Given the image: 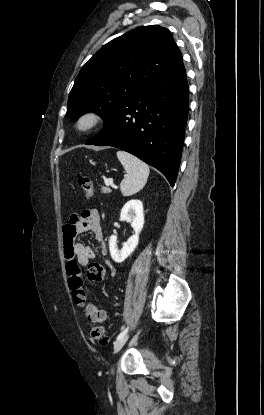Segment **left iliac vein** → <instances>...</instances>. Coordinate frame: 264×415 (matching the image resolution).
<instances>
[{
	"label": "left iliac vein",
	"mask_w": 264,
	"mask_h": 415,
	"mask_svg": "<svg viewBox=\"0 0 264 415\" xmlns=\"http://www.w3.org/2000/svg\"><path fill=\"white\" fill-rule=\"evenodd\" d=\"M128 337H129L128 335H124L122 338L115 341V343H114V352L115 353L118 352L124 346V344L128 340Z\"/></svg>",
	"instance_id": "obj_1"
}]
</instances>
